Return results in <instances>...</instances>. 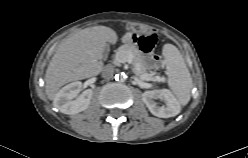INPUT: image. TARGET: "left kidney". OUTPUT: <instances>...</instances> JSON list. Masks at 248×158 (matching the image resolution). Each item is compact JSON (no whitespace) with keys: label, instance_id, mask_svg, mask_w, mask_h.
Segmentation results:
<instances>
[{"label":"left kidney","instance_id":"5707ae66","mask_svg":"<svg viewBox=\"0 0 248 158\" xmlns=\"http://www.w3.org/2000/svg\"><path fill=\"white\" fill-rule=\"evenodd\" d=\"M161 100L164 104L159 106L156 100ZM142 100L149 111L157 117L169 118L180 113V105L173 94L168 89L151 90L142 94Z\"/></svg>","mask_w":248,"mask_h":158}]
</instances>
